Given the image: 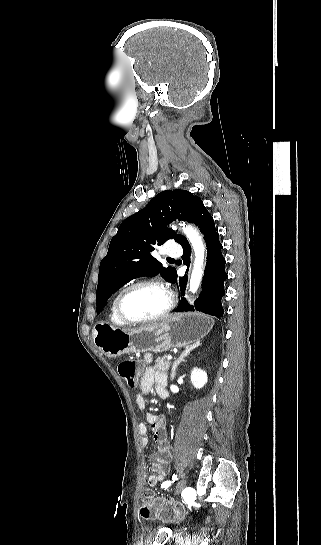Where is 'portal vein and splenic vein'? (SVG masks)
Returning a JSON list of instances; mask_svg holds the SVG:
<instances>
[{
    "label": "portal vein and splenic vein",
    "mask_w": 321,
    "mask_h": 545,
    "mask_svg": "<svg viewBox=\"0 0 321 545\" xmlns=\"http://www.w3.org/2000/svg\"><path fill=\"white\" fill-rule=\"evenodd\" d=\"M167 358H169V360H172V357H171V355H167Z\"/></svg>",
    "instance_id": "obj_1"
}]
</instances>
